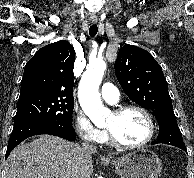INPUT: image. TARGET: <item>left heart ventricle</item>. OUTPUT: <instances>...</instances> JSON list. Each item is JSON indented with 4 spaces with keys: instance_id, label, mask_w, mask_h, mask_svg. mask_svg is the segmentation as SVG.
Listing matches in <instances>:
<instances>
[{
    "instance_id": "obj_1",
    "label": "left heart ventricle",
    "mask_w": 194,
    "mask_h": 178,
    "mask_svg": "<svg viewBox=\"0 0 194 178\" xmlns=\"http://www.w3.org/2000/svg\"><path fill=\"white\" fill-rule=\"evenodd\" d=\"M105 127L110 129L118 140L126 144L140 143L149 132L146 118L136 110H130L121 115L112 113Z\"/></svg>"
}]
</instances>
